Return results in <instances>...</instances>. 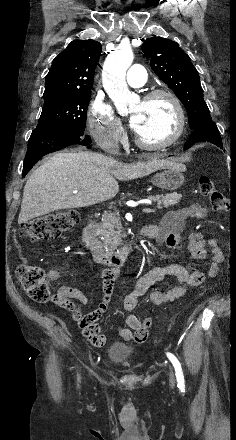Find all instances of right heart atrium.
Masks as SVG:
<instances>
[{
    "label": "right heart atrium",
    "mask_w": 236,
    "mask_h": 440,
    "mask_svg": "<svg viewBox=\"0 0 236 440\" xmlns=\"http://www.w3.org/2000/svg\"><path fill=\"white\" fill-rule=\"evenodd\" d=\"M87 122L90 134L99 147L109 152L118 150L123 128L109 103L94 96L88 108Z\"/></svg>",
    "instance_id": "d8ad5b80"
}]
</instances>
